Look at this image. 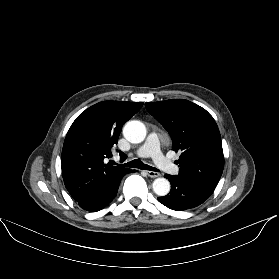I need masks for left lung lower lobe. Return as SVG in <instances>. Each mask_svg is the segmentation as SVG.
I'll return each instance as SVG.
<instances>
[{"instance_id": "left-lung-lower-lobe-1", "label": "left lung lower lobe", "mask_w": 279, "mask_h": 279, "mask_svg": "<svg viewBox=\"0 0 279 279\" xmlns=\"http://www.w3.org/2000/svg\"><path fill=\"white\" fill-rule=\"evenodd\" d=\"M172 187L169 194L158 197V201L166 207L182 211L199 206L212 194L208 190L179 178L178 176L165 175Z\"/></svg>"}]
</instances>
